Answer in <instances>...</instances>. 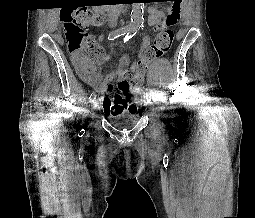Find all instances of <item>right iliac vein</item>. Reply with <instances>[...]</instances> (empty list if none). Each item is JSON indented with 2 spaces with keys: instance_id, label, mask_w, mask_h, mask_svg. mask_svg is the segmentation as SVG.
Wrapping results in <instances>:
<instances>
[{
  "instance_id": "right-iliac-vein-1",
  "label": "right iliac vein",
  "mask_w": 255,
  "mask_h": 218,
  "mask_svg": "<svg viewBox=\"0 0 255 218\" xmlns=\"http://www.w3.org/2000/svg\"><path fill=\"white\" fill-rule=\"evenodd\" d=\"M92 107H93V108L96 107V101H95V100L92 101Z\"/></svg>"
}]
</instances>
